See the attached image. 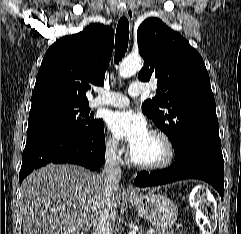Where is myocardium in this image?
<instances>
[{
	"label": "myocardium",
	"instance_id": "f54148a6",
	"mask_svg": "<svg viewBox=\"0 0 241 234\" xmlns=\"http://www.w3.org/2000/svg\"><path fill=\"white\" fill-rule=\"evenodd\" d=\"M150 134L158 137L164 144V147H165L164 158L161 161L156 162V163H143V162L137 161L133 157L132 153H130V157H129L130 162L136 168L141 169V170L155 171V170L164 169V168L168 167L169 165H171V163L173 162V160L175 158L174 144H173L172 140L170 139V137L164 131H162L160 129H153L150 131Z\"/></svg>",
	"mask_w": 241,
	"mask_h": 234
}]
</instances>
